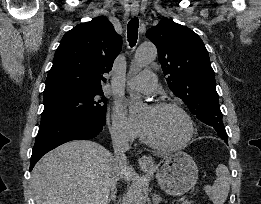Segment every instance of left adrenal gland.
I'll use <instances>...</instances> for the list:
<instances>
[{
  "mask_svg": "<svg viewBox=\"0 0 261 204\" xmlns=\"http://www.w3.org/2000/svg\"><path fill=\"white\" fill-rule=\"evenodd\" d=\"M152 201L153 204H159L160 202L163 201V199L160 197V195L155 193L154 196L152 197Z\"/></svg>",
  "mask_w": 261,
  "mask_h": 204,
  "instance_id": "obj_1",
  "label": "left adrenal gland"
}]
</instances>
